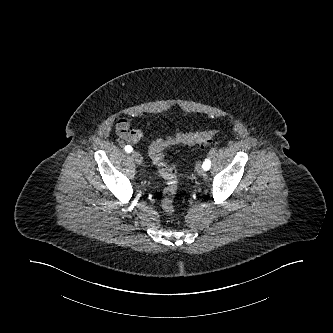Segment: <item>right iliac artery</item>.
<instances>
[{"label":"right iliac artery","mask_w":333,"mask_h":333,"mask_svg":"<svg viewBox=\"0 0 333 333\" xmlns=\"http://www.w3.org/2000/svg\"><path fill=\"white\" fill-rule=\"evenodd\" d=\"M132 150H133V148H132L130 145L125 146V151H126L127 153L132 152Z\"/></svg>","instance_id":"82829eb1"}]
</instances>
